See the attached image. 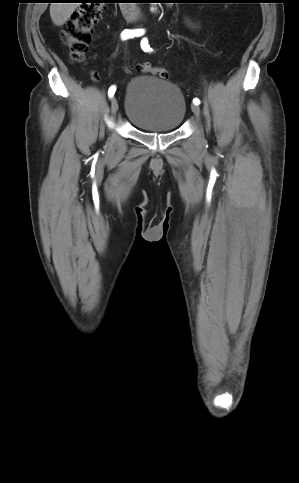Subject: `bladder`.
Instances as JSON below:
<instances>
[{"label": "bladder", "mask_w": 299, "mask_h": 483, "mask_svg": "<svg viewBox=\"0 0 299 483\" xmlns=\"http://www.w3.org/2000/svg\"><path fill=\"white\" fill-rule=\"evenodd\" d=\"M124 101L127 120L141 131H175L186 113L180 89L153 75L132 79L125 90Z\"/></svg>", "instance_id": "obj_1"}]
</instances>
